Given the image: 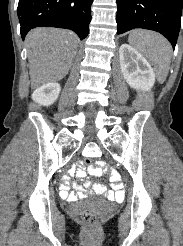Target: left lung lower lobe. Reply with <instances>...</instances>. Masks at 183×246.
I'll use <instances>...</instances> for the list:
<instances>
[{
	"label": "left lung lower lobe",
	"mask_w": 183,
	"mask_h": 246,
	"mask_svg": "<svg viewBox=\"0 0 183 246\" xmlns=\"http://www.w3.org/2000/svg\"><path fill=\"white\" fill-rule=\"evenodd\" d=\"M117 34L134 28L154 30L175 48L183 0H117Z\"/></svg>",
	"instance_id": "left-lung-lower-lobe-1"
}]
</instances>
